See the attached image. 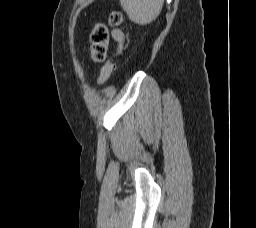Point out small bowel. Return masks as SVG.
Masks as SVG:
<instances>
[{
    "label": "small bowel",
    "mask_w": 256,
    "mask_h": 228,
    "mask_svg": "<svg viewBox=\"0 0 256 228\" xmlns=\"http://www.w3.org/2000/svg\"><path fill=\"white\" fill-rule=\"evenodd\" d=\"M113 39L117 42V53L121 54L124 48L125 35L120 29H112L111 31Z\"/></svg>",
    "instance_id": "small-bowel-1"
}]
</instances>
